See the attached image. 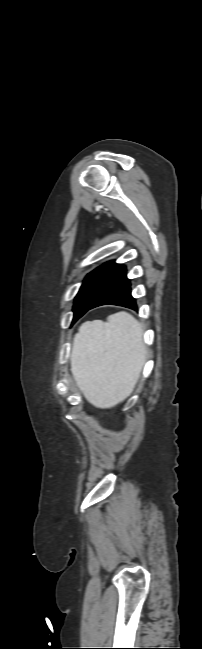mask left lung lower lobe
I'll use <instances>...</instances> for the list:
<instances>
[{"label":"left lung lower lobe","instance_id":"0a47b994","mask_svg":"<svg viewBox=\"0 0 202 649\" xmlns=\"http://www.w3.org/2000/svg\"><path fill=\"white\" fill-rule=\"evenodd\" d=\"M119 305L137 311L136 300L131 296L130 280L126 277V267L121 266L101 293L85 309L84 314L101 305Z\"/></svg>","mask_w":202,"mask_h":649}]
</instances>
